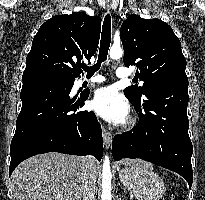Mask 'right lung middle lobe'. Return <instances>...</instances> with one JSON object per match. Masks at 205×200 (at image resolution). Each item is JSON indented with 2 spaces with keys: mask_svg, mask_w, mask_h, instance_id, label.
Masks as SVG:
<instances>
[{
  "mask_svg": "<svg viewBox=\"0 0 205 200\" xmlns=\"http://www.w3.org/2000/svg\"><path fill=\"white\" fill-rule=\"evenodd\" d=\"M69 81H74V80H71V79H68Z\"/></svg>",
  "mask_w": 205,
  "mask_h": 200,
  "instance_id": "obj_1",
  "label": "right lung middle lobe"
}]
</instances>
